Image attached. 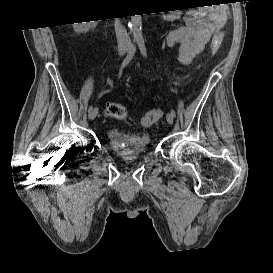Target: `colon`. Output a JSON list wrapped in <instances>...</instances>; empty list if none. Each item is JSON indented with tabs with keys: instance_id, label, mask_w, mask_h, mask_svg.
Instances as JSON below:
<instances>
[{
	"instance_id": "5ec220e1",
	"label": "colon",
	"mask_w": 273,
	"mask_h": 273,
	"mask_svg": "<svg viewBox=\"0 0 273 273\" xmlns=\"http://www.w3.org/2000/svg\"><path fill=\"white\" fill-rule=\"evenodd\" d=\"M220 35L219 33L215 34L211 42V52L213 55H216L220 50ZM104 112L106 116L113 119H127L128 112L124 105L116 102H108L105 105ZM164 112L162 109H152L148 111L140 120L142 126H150L153 123L160 120Z\"/></svg>"
}]
</instances>
